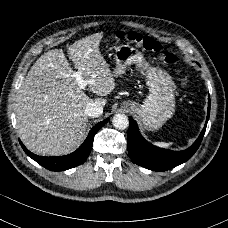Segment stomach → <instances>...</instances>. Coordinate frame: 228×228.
I'll use <instances>...</instances> for the list:
<instances>
[{
    "label": "stomach",
    "instance_id": "stomach-1",
    "mask_svg": "<svg viewBox=\"0 0 228 228\" xmlns=\"http://www.w3.org/2000/svg\"><path fill=\"white\" fill-rule=\"evenodd\" d=\"M115 61V77L124 74L132 64L142 67L145 63L143 54L128 44L115 49ZM146 78L149 94L144 102L126 101L121 103V107L132 112L144 129L154 131L160 129L175 112L174 82L167 72L158 69L149 70Z\"/></svg>",
    "mask_w": 228,
    "mask_h": 228
}]
</instances>
